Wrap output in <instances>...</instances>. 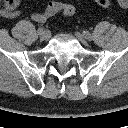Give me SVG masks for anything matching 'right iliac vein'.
<instances>
[{
  "label": "right iliac vein",
  "instance_id": "obj_1",
  "mask_svg": "<svg viewBox=\"0 0 128 128\" xmlns=\"http://www.w3.org/2000/svg\"><path fill=\"white\" fill-rule=\"evenodd\" d=\"M38 35L41 40H48L49 39V32L43 29L38 30Z\"/></svg>",
  "mask_w": 128,
  "mask_h": 128
}]
</instances>
